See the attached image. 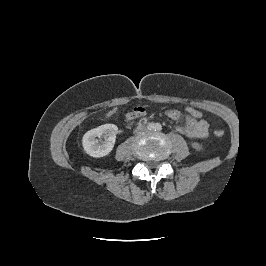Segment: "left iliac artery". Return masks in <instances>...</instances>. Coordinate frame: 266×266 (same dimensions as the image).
<instances>
[{
  "label": "left iliac artery",
  "instance_id": "1",
  "mask_svg": "<svg viewBox=\"0 0 266 266\" xmlns=\"http://www.w3.org/2000/svg\"><path fill=\"white\" fill-rule=\"evenodd\" d=\"M155 130H157V131H161V130H162V126H161V124L157 123V124L155 125Z\"/></svg>",
  "mask_w": 266,
  "mask_h": 266
}]
</instances>
